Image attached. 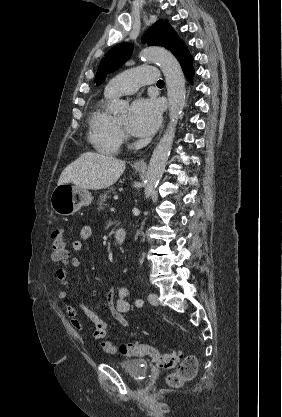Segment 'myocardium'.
I'll list each match as a JSON object with an SVG mask.
<instances>
[{"mask_svg": "<svg viewBox=\"0 0 282 417\" xmlns=\"http://www.w3.org/2000/svg\"><path fill=\"white\" fill-rule=\"evenodd\" d=\"M113 125H114L115 130L120 134V136H126V131L124 127L118 124L115 118H113Z\"/></svg>", "mask_w": 282, "mask_h": 417, "instance_id": "f54148a6", "label": "myocardium"}]
</instances>
